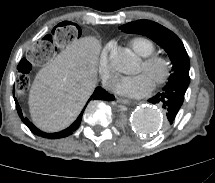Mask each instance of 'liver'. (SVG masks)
I'll list each match as a JSON object with an SVG mask.
<instances>
[{
  "label": "liver",
  "instance_id": "1",
  "mask_svg": "<svg viewBox=\"0 0 215 183\" xmlns=\"http://www.w3.org/2000/svg\"><path fill=\"white\" fill-rule=\"evenodd\" d=\"M99 53L96 38H80L37 73L28 103L39 129L57 132L77 118L96 87Z\"/></svg>",
  "mask_w": 215,
  "mask_h": 183
}]
</instances>
